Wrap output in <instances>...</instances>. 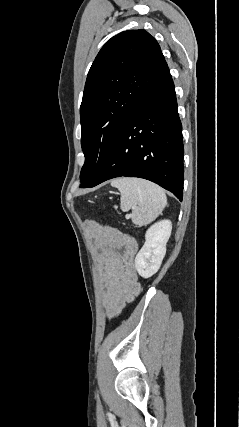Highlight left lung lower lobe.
<instances>
[{"label": "left lung lower lobe", "mask_w": 239, "mask_h": 427, "mask_svg": "<svg viewBox=\"0 0 239 427\" xmlns=\"http://www.w3.org/2000/svg\"><path fill=\"white\" fill-rule=\"evenodd\" d=\"M183 154L182 125L169 74L129 117L106 162L87 187L121 176L139 177L171 191L182 201Z\"/></svg>", "instance_id": "0a47b994"}]
</instances>
